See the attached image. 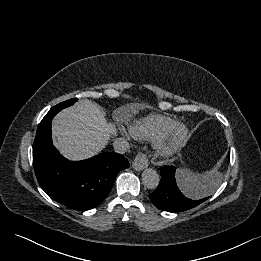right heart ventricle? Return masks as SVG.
<instances>
[{
  "label": "right heart ventricle",
  "mask_w": 261,
  "mask_h": 261,
  "mask_svg": "<svg viewBox=\"0 0 261 261\" xmlns=\"http://www.w3.org/2000/svg\"><path fill=\"white\" fill-rule=\"evenodd\" d=\"M180 123L162 115H151L136 121L130 128L131 134L140 140L155 141L170 133Z\"/></svg>",
  "instance_id": "1"
}]
</instances>
